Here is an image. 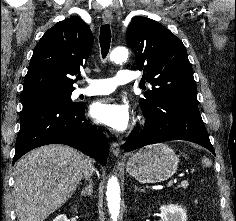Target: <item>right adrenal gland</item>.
<instances>
[{
  "mask_svg": "<svg viewBox=\"0 0 236 221\" xmlns=\"http://www.w3.org/2000/svg\"><path fill=\"white\" fill-rule=\"evenodd\" d=\"M93 193V183L89 180V184L81 190V196H91Z\"/></svg>",
  "mask_w": 236,
  "mask_h": 221,
  "instance_id": "2a0ac1e0",
  "label": "right adrenal gland"
}]
</instances>
